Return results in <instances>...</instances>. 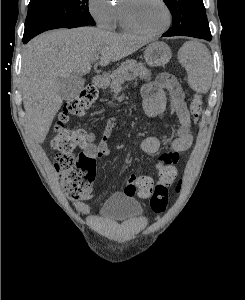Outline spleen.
Listing matches in <instances>:
<instances>
[{"label":"spleen","mask_w":245,"mask_h":300,"mask_svg":"<svg viewBox=\"0 0 245 300\" xmlns=\"http://www.w3.org/2000/svg\"><path fill=\"white\" fill-rule=\"evenodd\" d=\"M182 62L188 74V84L196 92L206 93L212 80L209 50L198 42H190L183 48Z\"/></svg>","instance_id":"1"}]
</instances>
